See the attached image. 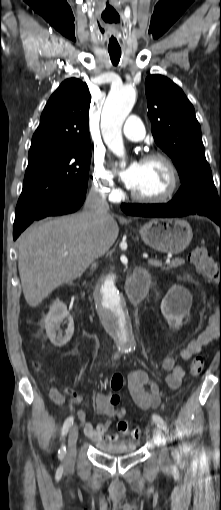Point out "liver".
<instances>
[{"label": "liver", "mask_w": 221, "mask_h": 510, "mask_svg": "<svg viewBox=\"0 0 221 510\" xmlns=\"http://www.w3.org/2000/svg\"><path fill=\"white\" fill-rule=\"evenodd\" d=\"M113 215L96 222L89 211L49 219L18 239V269L24 297L38 306L54 289L79 278L118 237Z\"/></svg>", "instance_id": "6515ba94"}]
</instances>
